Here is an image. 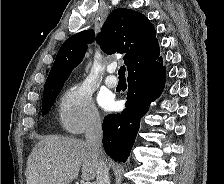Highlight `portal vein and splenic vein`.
Here are the masks:
<instances>
[{"instance_id": "18ae733b", "label": "portal vein and splenic vein", "mask_w": 224, "mask_h": 184, "mask_svg": "<svg viewBox=\"0 0 224 184\" xmlns=\"http://www.w3.org/2000/svg\"><path fill=\"white\" fill-rule=\"evenodd\" d=\"M84 184H92L91 182H85Z\"/></svg>"}]
</instances>
